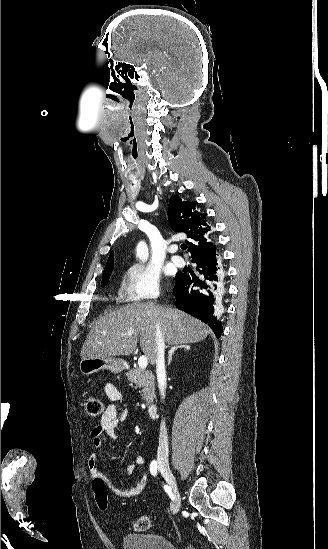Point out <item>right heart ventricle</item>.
Here are the masks:
<instances>
[{
    "label": "right heart ventricle",
    "mask_w": 328,
    "mask_h": 549,
    "mask_svg": "<svg viewBox=\"0 0 328 549\" xmlns=\"http://www.w3.org/2000/svg\"><path fill=\"white\" fill-rule=\"evenodd\" d=\"M113 301L114 303H128L121 288H118L117 291L115 292Z\"/></svg>",
    "instance_id": "1"
}]
</instances>
